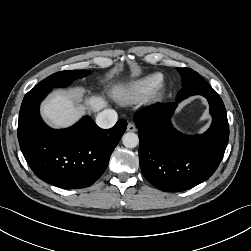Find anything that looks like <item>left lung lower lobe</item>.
I'll use <instances>...</instances> for the list:
<instances>
[{"label": "left lung lower lobe", "mask_w": 251, "mask_h": 251, "mask_svg": "<svg viewBox=\"0 0 251 251\" xmlns=\"http://www.w3.org/2000/svg\"><path fill=\"white\" fill-rule=\"evenodd\" d=\"M195 94L207 98L213 120L204 134L187 136L172 126L170 118L177 102ZM134 122L139 130L141 171L152 185L166 192L185 191L207 180L219 166L228 144L226 109L208 83L180 90L176 102L140 110Z\"/></svg>", "instance_id": "left-lung-lower-lobe-1"}]
</instances>
